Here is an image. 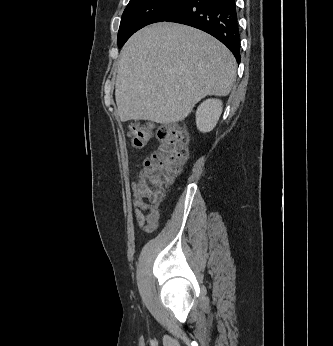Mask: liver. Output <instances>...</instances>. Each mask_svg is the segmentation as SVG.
<instances>
[{"label":"liver","mask_w":333,"mask_h":346,"mask_svg":"<svg viewBox=\"0 0 333 346\" xmlns=\"http://www.w3.org/2000/svg\"><path fill=\"white\" fill-rule=\"evenodd\" d=\"M236 75L233 54L211 35L176 23L136 32L118 59L115 99L123 122L184 120L207 95L226 96Z\"/></svg>","instance_id":"6515ba94"}]
</instances>
